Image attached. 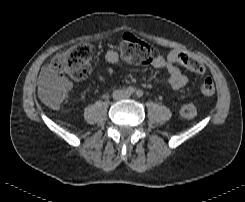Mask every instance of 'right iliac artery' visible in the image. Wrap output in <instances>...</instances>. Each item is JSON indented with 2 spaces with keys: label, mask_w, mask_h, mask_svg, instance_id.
Returning <instances> with one entry per match:
<instances>
[{
  "label": "right iliac artery",
  "mask_w": 245,
  "mask_h": 202,
  "mask_svg": "<svg viewBox=\"0 0 245 202\" xmlns=\"http://www.w3.org/2000/svg\"><path fill=\"white\" fill-rule=\"evenodd\" d=\"M135 92V88L132 87V86H129L127 89H126V93H128L129 95L133 94Z\"/></svg>",
  "instance_id": "1"
}]
</instances>
